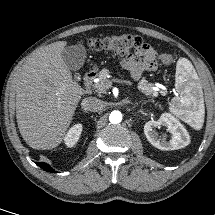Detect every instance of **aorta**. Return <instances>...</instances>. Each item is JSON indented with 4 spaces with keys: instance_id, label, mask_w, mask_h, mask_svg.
Returning <instances> with one entry per match:
<instances>
[{
    "instance_id": "762f6f07",
    "label": "aorta",
    "mask_w": 215,
    "mask_h": 215,
    "mask_svg": "<svg viewBox=\"0 0 215 215\" xmlns=\"http://www.w3.org/2000/svg\"><path fill=\"white\" fill-rule=\"evenodd\" d=\"M109 120L111 123L113 124H117L120 123L122 121V114L120 111H112L110 116H109Z\"/></svg>"
}]
</instances>
